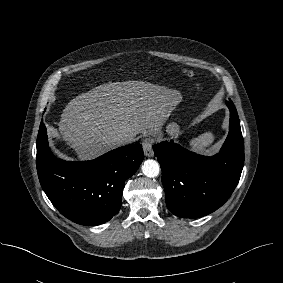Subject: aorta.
Returning a JSON list of instances; mask_svg holds the SVG:
<instances>
[{"mask_svg":"<svg viewBox=\"0 0 283 283\" xmlns=\"http://www.w3.org/2000/svg\"><path fill=\"white\" fill-rule=\"evenodd\" d=\"M142 172L145 176L149 178H154L159 175L160 166L157 161L153 159H148L144 161L142 165Z\"/></svg>","mask_w":283,"mask_h":283,"instance_id":"obj_1","label":"aorta"}]
</instances>
